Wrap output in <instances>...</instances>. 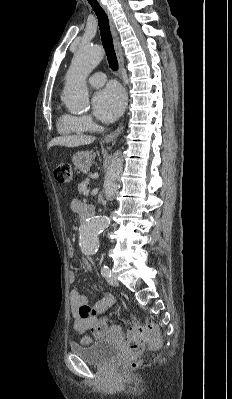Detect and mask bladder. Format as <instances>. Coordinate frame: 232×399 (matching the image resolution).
Returning a JSON list of instances; mask_svg holds the SVG:
<instances>
[{
  "mask_svg": "<svg viewBox=\"0 0 232 399\" xmlns=\"http://www.w3.org/2000/svg\"><path fill=\"white\" fill-rule=\"evenodd\" d=\"M70 350L72 353L96 365L106 364L121 353L118 345L106 340L96 341L87 346L71 343Z\"/></svg>",
  "mask_w": 232,
  "mask_h": 399,
  "instance_id": "obj_1",
  "label": "bladder"
}]
</instances>
